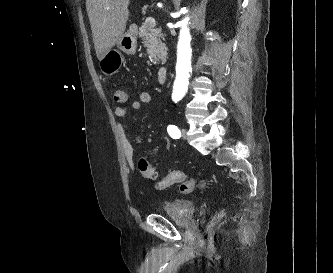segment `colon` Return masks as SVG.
<instances>
[{"label":"colon","instance_id":"1","mask_svg":"<svg viewBox=\"0 0 333 273\" xmlns=\"http://www.w3.org/2000/svg\"><path fill=\"white\" fill-rule=\"evenodd\" d=\"M114 100L118 103H125L128 101V95L124 90L117 89L114 92ZM138 170L140 174L147 179L156 178L155 169L148 163L145 158H140L138 160ZM174 184H178L180 186V191L185 194L192 193L198 187L203 186L202 183H199L195 179L188 177L182 171H172L158 182V186L160 188L169 187Z\"/></svg>","mask_w":333,"mask_h":273}]
</instances>
